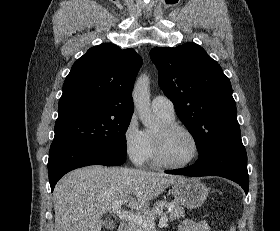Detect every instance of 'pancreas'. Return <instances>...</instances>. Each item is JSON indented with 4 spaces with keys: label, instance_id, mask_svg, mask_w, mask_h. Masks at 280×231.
<instances>
[{
    "label": "pancreas",
    "instance_id": "cf45deb5",
    "mask_svg": "<svg viewBox=\"0 0 280 231\" xmlns=\"http://www.w3.org/2000/svg\"><path fill=\"white\" fill-rule=\"evenodd\" d=\"M166 207H170V209L163 211ZM164 213H169L170 219H178V217H184L185 215L184 207L177 201H157L152 209L143 211V215L149 217V219H152L153 215H164ZM128 231H145V229L140 223H129Z\"/></svg>",
    "mask_w": 280,
    "mask_h": 231
}]
</instances>
